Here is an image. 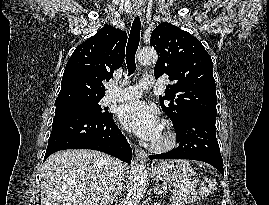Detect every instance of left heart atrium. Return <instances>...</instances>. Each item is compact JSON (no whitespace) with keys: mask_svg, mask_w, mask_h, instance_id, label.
Here are the masks:
<instances>
[{"mask_svg":"<svg viewBox=\"0 0 269 205\" xmlns=\"http://www.w3.org/2000/svg\"><path fill=\"white\" fill-rule=\"evenodd\" d=\"M122 126L146 141H155L161 133V124L156 108L143 101L122 105L118 112Z\"/></svg>","mask_w":269,"mask_h":205,"instance_id":"left-heart-atrium-1","label":"left heart atrium"}]
</instances>
